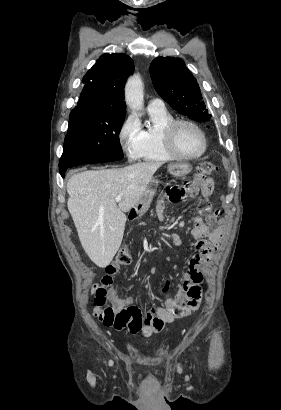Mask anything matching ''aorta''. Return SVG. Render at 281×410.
Instances as JSON below:
<instances>
[{
    "instance_id": "1",
    "label": "aorta",
    "mask_w": 281,
    "mask_h": 410,
    "mask_svg": "<svg viewBox=\"0 0 281 410\" xmlns=\"http://www.w3.org/2000/svg\"><path fill=\"white\" fill-rule=\"evenodd\" d=\"M125 101L132 110H141L143 108V82L139 75H134L127 80L125 85Z\"/></svg>"
}]
</instances>
